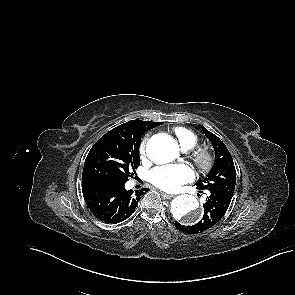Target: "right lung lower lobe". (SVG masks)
Wrapping results in <instances>:
<instances>
[{
  "label": "right lung lower lobe",
  "mask_w": 295,
  "mask_h": 295,
  "mask_svg": "<svg viewBox=\"0 0 295 295\" xmlns=\"http://www.w3.org/2000/svg\"><path fill=\"white\" fill-rule=\"evenodd\" d=\"M145 189H125V183L87 182L82 183L85 202L91 212L105 223L116 224L132 215Z\"/></svg>",
  "instance_id": "1"
}]
</instances>
